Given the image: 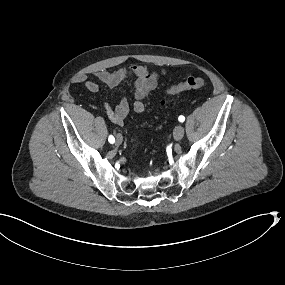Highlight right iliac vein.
I'll return each instance as SVG.
<instances>
[{"label": "right iliac vein", "instance_id": "obj_1", "mask_svg": "<svg viewBox=\"0 0 285 285\" xmlns=\"http://www.w3.org/2000/svg\"><path fill=\"white\" fill-rule=\"evenodd\" d=\"M121 143H122V136L118 134V135L116 136V144H117V145H120Z\"/></svg>", "mask_w": 285, "mask_h": 285}]
</instances>
